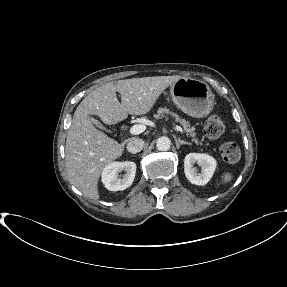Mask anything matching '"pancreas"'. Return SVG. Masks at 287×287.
<instances>
[{"instance_id":"pancreas-1","label":"pancreas","mask_w":287,"mask_h":287,"mask_svg":"<svg viewBox=\"0 0 287 287\" xmlns=\"http://www.w3.org/2000/svg\"><path fill=\"white\" fill-rule=\"evenodd\" d=\"M165 114L166 115H171L172 117H174L175 121L179 122L182 125L186 135L192 137L193 138L192 140L196 144H201V142H199V140L195 137L196 136L195 128L192 127L188 121H186L185 119H182L179 115H177L176 113L170 111L169 109H167V108H159L158 111H157V114L155 115V118L164 117Z\"/></svg>"}]
</instances>
